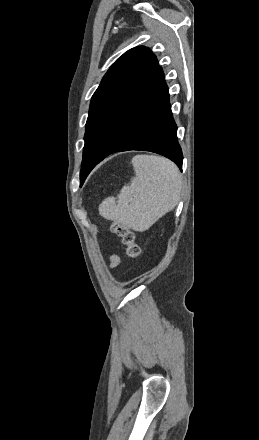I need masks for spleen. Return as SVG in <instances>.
<instances>
[{
    "label": "spleen",
    "instance_id": "obj_1",
    "mask_svg": "<svg viewBox=\"0 0 259 440\" xmlns=\"http://www.w3.org/2000/svg\"><path fill=\"white\" fill-rule=\"evenodd\" d=\"M132 165L135 177L130 185L123 186L117 198L107 197L99 213L143 232L178 204L182 179L177 166L164 157L136 155Z\"/></svg>",
    "mask_w": 259,
    "mask_h": 440
}]
</instances>
